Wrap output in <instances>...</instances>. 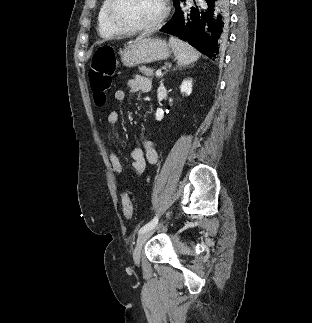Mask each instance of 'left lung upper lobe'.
Wrapping results in <instances>:
<instances>
[{"mask_svg": "<svg viewBox=\"0 0 312 323\" xmlns=\"http://www.w3.org/2000/svg\"><path fill=\"white\" fill-rule=\"evenodd\" d=\"M173 1H174V3H175V7H176V9H177V7L179 6V3H180V1H181V0H173ZM176 9H175V10H176Z\"/></svg>", "mask_w": 312, "mask_h": 323, "instance_id": "5c2ea615", "label": "left lung upper lobe"}]
</instances>
